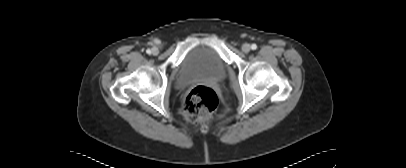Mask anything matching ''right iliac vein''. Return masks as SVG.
I'll return each mask as SVG.
<instances>
[{"label": "right iliac vein", "mask_w": 406, "mask_h": 168, "mask_svg": "<svg viewBox=\"0 0 406 168\" xmlns=\"http://www.w3.org/2000/svg\"><path fill=\"white\" fill-rule=\"evenodd\" d=\"M151 53H152L153 55H157V54L159 53V49H158L157 47H153V48L151 49Z\"/></svg>", "instance_id": "obj_1"}]
</instances>
